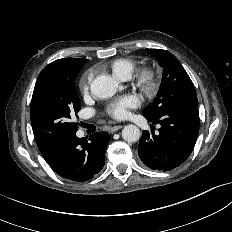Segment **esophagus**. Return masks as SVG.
<instances>
[{
	"instance_id": "34e87169",
	"label": "esophagus",
	"mask_w": 232,
	"mask_h": 232,
	"mask_svg": "<svg viewBox=\"0 0 232 232\" xmlns=\"http://www.w3.org/2000/svg\"><path fill=\"white\" fill-rule=\"evenodd\" d=\"M122 127H123V125L113 126L110 128V132L114 133V132L118 131L119 129H121Z\"/></svg>"
}]
</instances>
